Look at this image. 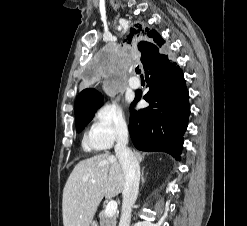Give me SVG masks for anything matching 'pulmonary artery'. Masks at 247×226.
<instances>
[{
	"label": "pulmonary artery",
	"instance_id": "1",
	"mask_svg": "<svg viewBox=\"0 0 247 226\" xmlns=\"http://www.w3.org/2000/svg\"><path fill=\"white\" fill-rule=\"evenodd\" d=\"M140 83L136 79H130L129 86L132 89H137L139 87Z\"/></svg>",
	"mask_w": 247,
	"mask_h": 226
}]
</instances>
